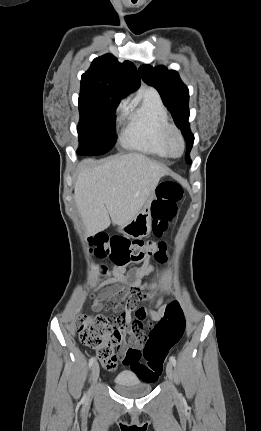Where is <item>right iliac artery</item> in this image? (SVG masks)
I'll return each instance as SVG.
<instances>
[{"instance_id":"right-iliac-artery-1","label":"right iliac artery","mask_w":261,"mask_h":431,"mask_svg":"<svg viewBox=\"0 0 261 431\" xmlns=\"http://www.w3.org/2000/svg\"><path fill=\"white\" fill-rule=\"evenodd\" d=\"M95 362V357H92L90 360H89V368H91V366L93 365V363ZM84 399H86V394L84 395Z\"/></svg>"}]
</instances>
